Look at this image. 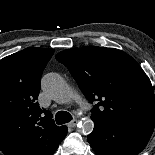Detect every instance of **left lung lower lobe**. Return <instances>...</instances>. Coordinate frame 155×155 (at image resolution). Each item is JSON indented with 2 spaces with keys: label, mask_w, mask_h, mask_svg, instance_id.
<instances>
[{
  "label": "left lung lower lobe",
  "mask_w": 155,
  "mask_h": 155,
  "mask_svg": "<svg viewBox=\"0 0 155 155\" xmlns=\"http://www.w3.org/2000/svg\"><path fill=\"white\" fill-rule=\"evenodd\" d=\"M88 142L97 155H137L147 145L154 121L108 122L93 120Z\"/></svg>",
  "instance_id": "left-lung-lower-lobe-1"
}]
</instances>
